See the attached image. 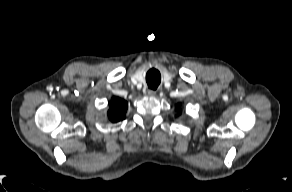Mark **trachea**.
<instances>
[{
    "label": "trachea",
    "mask_w": 292,
    "mask_h": 192,
    "mask_svg": "<svg viewBox=\"0 0 292 192\" xmlns=\"http://www.w3.org/2000/svg\"><path fill=\"white\" fill-rule=\"evenodd\" d=\"M146 82L150 89H157L158 85L161 82V76L159 71H157L156 69L149 70L146 74Z\"/></svg>",
    "instance_id": "obj_1"
}]
</instances>
